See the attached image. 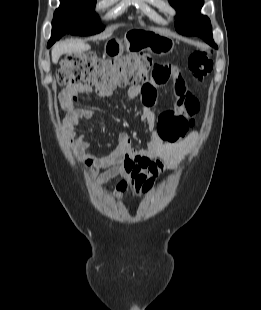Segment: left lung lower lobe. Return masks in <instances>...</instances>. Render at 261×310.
<instances>
[{
    "label": "left lung lower lobe",
    "instance_id": "0a47b994",
    "mask_svg": "<svg viewBox=\"0 0 261 310\" xmlns=\"http://www.w3.org/2000/svg\"><path fill=\"white\" fill-rule=\"evenodd\" d=\"M196 36L201 37L206 43L210 44L213 47H217L212 38L211 24H206L201 26L197 31Z\"/></svg>",
    "mask_w": 261,
    "mask_h": 310
}]
</instances>
